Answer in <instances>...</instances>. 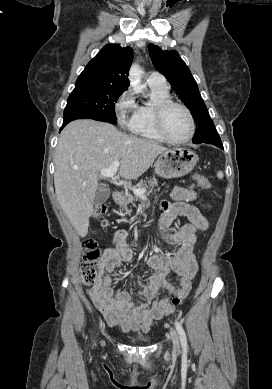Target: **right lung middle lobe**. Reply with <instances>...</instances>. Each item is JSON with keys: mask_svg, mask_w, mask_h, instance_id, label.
Instances as JSON below:
<instances>
[{"mask_svg": "<svg viewBox=\"0 0 272 389\" xmlns=\"http://www.w3.org/2000/svg\"><path fill=\"white\" fill-rule=\"evenodd\" d=\"M124 89L76 84L67 100L64 117L79 115L87 119L116 124L115 102Z\"/></svg>", "mask_w": 272, "mask_h": 389, "instance_id": "obj_1", "label": "right lung middle lobe"}]
</instances>
